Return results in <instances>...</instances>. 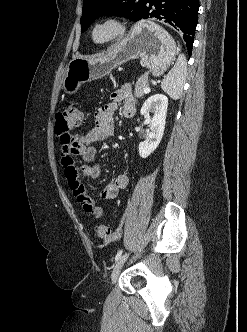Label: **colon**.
<instances>
[{
	"instance_id": "colon-1",
	"label": "colon",
	"mask_w": 247,
	"mask_h": 332,
	"mask_svg": "<svg viewBox=\"0 0 247 332\" xmlns=\"http://www.w3.org/2000/svg\"><path fill=\"white\" fill-rule=\"evenodd\" d=\"M81 119L82 112L73 102L69 103L63 111L56 114L55 133L62 144L74 145L75 139L72 131L80 124ZM95 234L99 238L106 240L113 238L110 226L103 223L95 226Z\"/></svg>"
}]
</instances>
